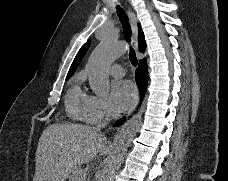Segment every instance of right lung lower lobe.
Returning <instances> with one entry per match:
<instances>
[{
  "label": "right lung lower lobe",
  "instance_id": "obj_1",
  "mask_svg": "<svg viewBox=\"0 0 228 181\" xmlns=\"http://www.w3.org/2000/svg\"><path fill=\"white\" fill-rule=\"evenodd\" d=\"M148 82V66L146 59L139 61V67L136 70V83L140 89L141 95L143 96L144 91L147 87ZM123 119H120L115 125L121 124Z\"/></svg>",
  "mask_w": 228,
  "mask_h": 181
}]
</instances>
